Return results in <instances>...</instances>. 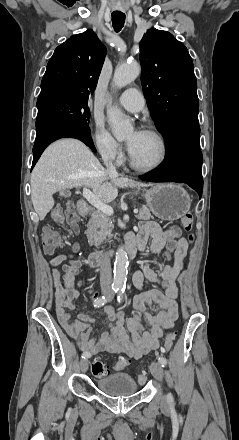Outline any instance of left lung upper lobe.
Wrapping results in <instances>:
<instances>
[{
  "instance_id": "left-lung-upper-lobe-1",
  "label": "left lung upper lobe",
  "mask_w": 239,
  "mask_h": 440,
  "mask_svg": "<svg viewBox=\"0 0 239 440\" xmlns=\"http://www.w3.org/2000/svg\"><path fill=\"white\" fill-rule=\"evenodd\" d=\"M139 46L143 93L163 137L180 125L199 123L197 81L184 44L169 32L151 28Z\"/></svg>"
}]
</instances>
